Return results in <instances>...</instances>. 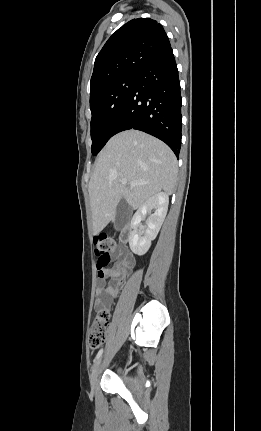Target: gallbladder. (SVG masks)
Here are the masks:
<instances>
[{
  "label": "gallbladder",
  "mask_w": 261,
  "mask_h": 431,
  "mask_svg": "<svg viewBox=\"0 0 261 431\" xmlns=\"http://www.w3.org/2000/svg\"><path fill=\"white\" fill-rule=\"evenodd\" d=\"M130 217H131L130 206L124 199H122L116 209L114 228L116 230H121L129 222Z\"/></svg>",
  "instance_id": "obj_1"
}]
</instances>
